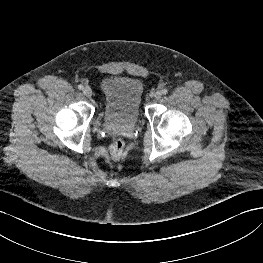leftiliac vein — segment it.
<instances>
[{"instance_id":"4c4485c4","label":"left iliac vein","mask_w":263,"mask_h":263,"mask_svg":"<svg viewBox=\"0 0 263 263\" xmlns=\"http://www.w3.org/2000/svg\"><path fill=\"white\" fill-rule=\"evenodd\" d=\"M153 96H154L155 99H160L161 96H162V92L161 91H156Z\"/></svg>"}]
</instances>
